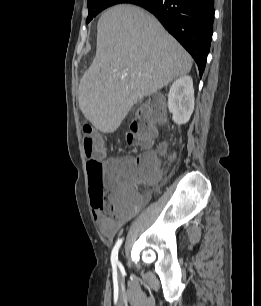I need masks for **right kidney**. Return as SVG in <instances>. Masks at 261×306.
<instances>
[{"instance_id": "obj_1", "label": "right kidney", "mask_w": 261, "mask_h": 306, "mask_svg": "<svg viewBox=\"0 0 261 306\" xmlns=\"http://www.w3.org/2000/svg\"><path fill=\"white\" fill-rule=\"evenodd\" d=\"M168 109L176 124H185L189 121L194 110V88L190 76H182L171 85Z\"/></svg>"}]
</instances>
